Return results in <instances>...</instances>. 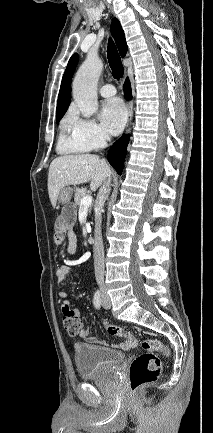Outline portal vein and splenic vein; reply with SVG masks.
<instances>
[{"mask_svg":"<svg viewBox=\"0 0 213 433\" xmlns=\"http://www.w3.org/2000/svg\"><path fill=\"white\" fill-rule=\"evenodd\" d=\"M92 203V196L87 195L81 200L80 208H88Z\"/></svg>","mask_w":213,"mask_h":433,"instance_id":"obj_1","label":"portal vein and splenic vein"}]
</instances>
